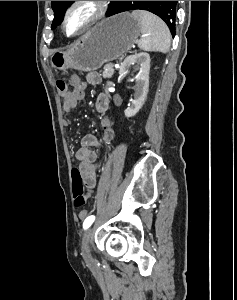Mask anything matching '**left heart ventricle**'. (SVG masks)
Here are the masks:
<instances>
[{
    "mask_svg": "<svg viewBox=\"0 0 237 300\" xmlns=\"http://www.w3.org/2000/svg\"><path fill=\"white\" fill-rule=\"evenodd\" d=\"M92 11L93 8L91 6H85L75 11L69 19L67 25L68 32H76L80 28V26L85 22V20L91 15Z\"/></svg>",
    "mask_w": 237,
    "mask_h": 300,
    "instance_id": "left-heart-ventricle-1",
    "label": "left heart ventricle"
}]
</instances>
